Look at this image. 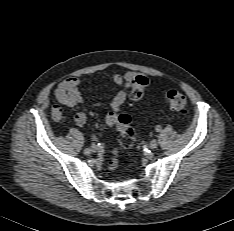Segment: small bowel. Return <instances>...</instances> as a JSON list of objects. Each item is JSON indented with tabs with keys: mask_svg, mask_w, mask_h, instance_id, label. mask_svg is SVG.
I'll list each match as a JSON object with an SVG mask.
<instances>
[{
	"mask_svg": "<svg viewBox=\"0 0 234 231\" xmlns=\"http://www.w3.org/2000/svg\"><path fill=\"white\" fill-rule=\"evenodd\" d=\"M135 75L131 72L125 75L112 74L109 76V80L119 86L121 89L113 97L110 103V111L105 116V123L108 126H114L118 121V112L126 100V90L133 85ZM81 79L79 78H68L62 81L55 90V97L58 105H54L52 108V118L54 120H60L62 118V108L73 107L81 104L86 105L85 99L80 91ZM75 122L78 125H84L87 121V115L81 111L75 115Z\"/></svg>",
	"mask_w": 234,
	"mask_h": 231,
	"instance_id": "1",
	"label": "small bowel"
}]
</instances>
